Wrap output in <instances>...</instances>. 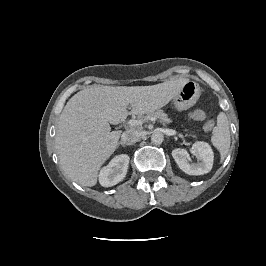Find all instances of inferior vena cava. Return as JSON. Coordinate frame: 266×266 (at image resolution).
I'll return each instance as SVG.
<instances>
[{
    "label": "inferior vena cava",
    "mask_w": 266,
    "mask_h": 266,
    "mask_svg": "<svg viewBox=\"0 0 266 266\" xmlns=\"http://www.w3.org/2000/svg\"><path fill=\"white\" fill-rule=\"evenodd\" d=\"M141 138V133L136 130H127L121 135V142L124 145H132L139 141Z\"/></svg>",
    "instance_id": "602c4592"
}]
</instances>
